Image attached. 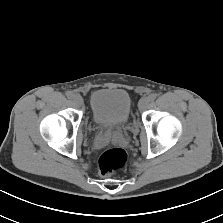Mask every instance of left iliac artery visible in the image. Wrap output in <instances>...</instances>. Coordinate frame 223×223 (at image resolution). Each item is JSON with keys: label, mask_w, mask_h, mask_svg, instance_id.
<instances>
[{"label": "left iliac artery", "mask_w": 223, "mask_h": 223, "mask_svg": "<svg viewBox=\"0 0 223 223\" xmlns=\"http://www.w3.org/2000/svg\"><path fill=\"white\" fill-rule=\"evenodd\" d=\"M148 98H149V101H154L157 98V94L152 93L148 96Z\"/></svg>", "instance_id": "obj_1"}]
</instances>
